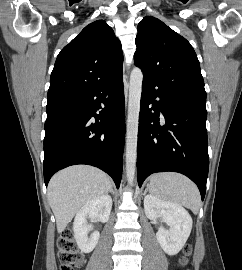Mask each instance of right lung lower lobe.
Returning a JSON list of instances; mask_svg holds the SVG:
<instances>
[{"instance_id": "98d812e1", "label": "right lung lower lobe", "mask_w": 242, "mask_h": 270, "mask_svg": "<svg viewBox=\"0 0 242 270\" xmlns=\"http://www.w3.org/2000/svg\"><path fill=\"white\" fill-rule=\"evenodd\" d=\"M46 112V186L58 170L88 164L108 173L119 188L125 138L122 74L80 94L47 103Z\"/></svg>"}]
</instances>
